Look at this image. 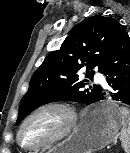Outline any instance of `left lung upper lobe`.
<instances>
[{
  "label": "left lung upper lobe",
  "instance_id": "obj_1",
  "mask_svg": "<svg viewBox=\"0 0 130 153\" xmlns=\"http://www.w3.org/2000/svg\"><path fill=\"white\" fill-rule=\"evenodd\" d=\"M122 25L111 17L94 15L75 25L61 45L50 53L30 80L27 93L20 103L18 125L30 112L53 101L71 100L87 105L97 102L100 86L83 88L93 79V69L100 72ZM86 71L85 80L78 72ZM91 71V72H90Z\"/></svg>",
  "mask_w": 130,
  "mask_h": 153
}]
</instances>
